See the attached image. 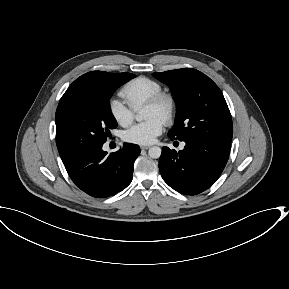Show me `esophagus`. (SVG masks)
Masks as SVG:
<instances>
[{"mask_svg":"<svg viewBox=\"0 0 289 289\" xmlns=\"http://www.w3.org/2000/svg\"><path fill=\"white\" fill-rule=\"evenodd\" d=\"M142 150H148L150 148V146H141L140 147Z\"/></svg>","mask_w":289,"mask_h":289,"instance_id":"esophagus-1","label":"esophagus"}]
</instances>
